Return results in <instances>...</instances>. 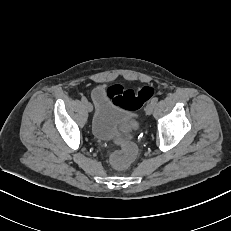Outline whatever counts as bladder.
Here are the masks:
<instances>
[{
  "label": "bladder",
  "mask_w": 231,
  "mask_h": 231,
  "mask_svg": "<svg viewBox=\"0 0 231 231\" xmlns=\"http://www.w3.org/2000/svg\"><path fill=\"white\" fill-rule=\"evenodd\" d=\"M92 97L95 104L91 122L92 136L100 141L112 140L116 137L118 125L132 120L135 114L114 103L103 86L96 87Z\"/></svg>",
  "instance_id": "obj_1"
}]
</instances>
